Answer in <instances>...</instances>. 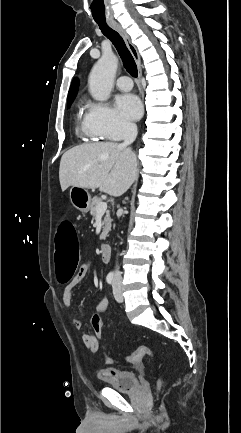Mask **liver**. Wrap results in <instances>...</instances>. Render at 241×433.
Returning <instances> with one entry per match:
<instances>
[{"label":"liver","instance_id":"obj_1","mask_svg":"<svg viewBox=\"0 0 241 433\" xmlns=\"http://www.w3.org/2000/svg\"><path fill=\"white\" fill-rule=\"evenodd\" d=\"M137 175L136 154L114 142L88 143L66 151L60 161L62 191L69 186L99 188L110 196H121Z\"/></svg>","mask_w":241,"mask_h":433}]
</instances>
